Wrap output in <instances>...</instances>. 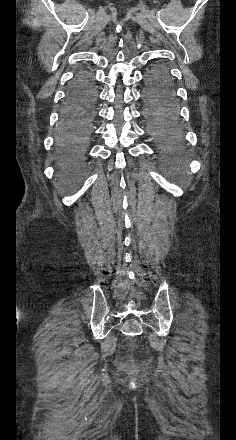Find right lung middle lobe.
<instances>
[{
    "label": "right lung middle lobe",
    "instance_id": "obj_1",
    "mask_svg": "<svg viewBox=\"0 0 236 440\" xmlns=\"http://www.w3.org/2000/svg\"><path fill=\"white\" fill-rule=\"evenodd\" d=\"M79 98L83 103L80 108V121L71 128L62 129L57 134V149L63 162H74L78 160L85 147V143L90 135V122L94 112V102L96 100V89L93 83H87L80 90ZM76 97L75 92L71 98Z\"/></svg>",
    "mask_w": 236,
    "mask_h": 440
}]
</instances>
